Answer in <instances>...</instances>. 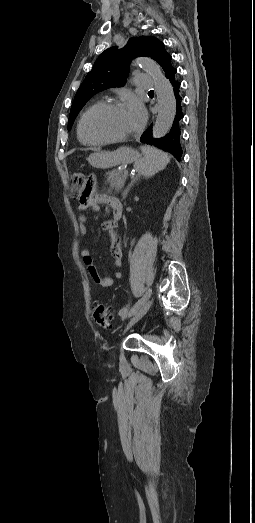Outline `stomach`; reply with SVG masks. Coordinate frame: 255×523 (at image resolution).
Here are the masks:
<instances>
[{"mask_svg":"<svg viewBox=\"0 0 255 523\" xmlns=\"http://www.w3.org/2000/svg\"><path fill=\"white\" fill-rule=\"evenodd\" d=\"M136 158H139L138 152L133 148H118L115 151H94L88 160L91 167L113 168L120 164H132Z\"/></svg>","mask_w":255,"mask_h":523,"instance_id":"obj_1","label":"stomach"}]
</instances>
